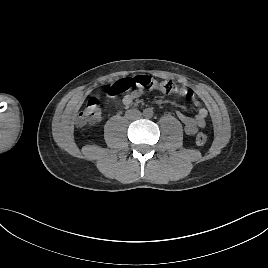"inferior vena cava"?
<instances>
[{
    "label": "inferior vena cava",
    "mask_w": 268,
    "mask_h": 268,
    "mask_svg": "<svg viewBox=\"0 0 268 268\" xmlns=\"http://www.w3.org/2000/svg\"><path fill=\"white\" fill-rule=\"evenodd\" d=\"M135 112V116H133L134 119H138L141 116V113L139 111H134ZM130 118H132L131 116H128Z\"/></svg>",
    "instance_id": "inferior-vena-cava-1"
}]
</instances>
